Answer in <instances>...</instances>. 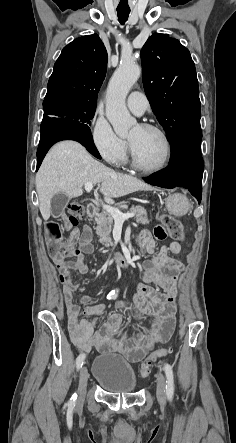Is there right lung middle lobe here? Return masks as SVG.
Returning <instances> with one entry per match:
<instances>
[{
	"mask_svg": "<svg viewBox=\"0 0 236 443\" xmlns=\"http://www.w3.org/2000/svg\"><path fill=\"white\" fill-rule=\"evenodd\" d=\"M44 116L68 120L77 128L91 133L89 125L93 118L96 104L75 98H55L43 102Z\"/></svg>",
	"mask_w": 236,
	"mask_h": 443,
	"instance_id": "right-lung-middle-lobe-1",
	"label": "right lung middle lobe"
}]
</instances>
